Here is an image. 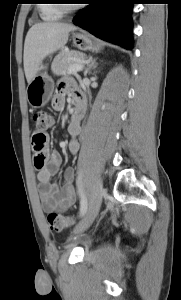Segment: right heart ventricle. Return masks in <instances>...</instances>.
<instances>
[{"mask_svg": "<svg viewBox=\"0 0 181 300\" xmlns=\"http://www.w3.org/2000/svg\"><path fill=\"white\" fill-rule=\"evenodd\" d=\"M38 7L39 15L46 22H56L63 16V12L58 8L55 0H42Z\"/></svg>", "mask_w": 181, "mask_h": 300, "instance_id": "e07e8e85", "label": "right heart ventricle"}]
</instances>
